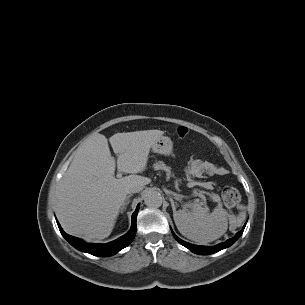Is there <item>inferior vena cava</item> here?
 Segmentation results:
<instances>
[{"instance_id":"obj_1","label":"inferior vena cava","mask_w":305,"mask_h":305,"mask_svg":"<svg viewBox=\"0 0 305 305\" xmlns=\"http://www.w3.org/2000/svg\"><path fill=\"white\" fill-rule=\"evenodd\" d=\"M143 189L142 185H134L128 188L127 193H138Z\"/></svg>"}]
</instances>
